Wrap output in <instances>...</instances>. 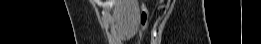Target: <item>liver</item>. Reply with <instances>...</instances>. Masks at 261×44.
I'll return each mask as SVG.
<instances>
[{
	"label": "liver",
	"mask_w": 261,
	"mask_h": 44,
	"mask_svg": "<svg viewBox=\"0 0 261 44\" xmlns=\"http://www.w3.org/2000/svg\"><path fill=\"white\" fill-rule=\"evenodd\" d=\"M138 0H117L113 10V17L119 27L122 39L133 36L139 27Z\"/></svg>",
	"instance_id": "6515ba94"
}]
</instances>
